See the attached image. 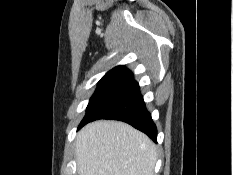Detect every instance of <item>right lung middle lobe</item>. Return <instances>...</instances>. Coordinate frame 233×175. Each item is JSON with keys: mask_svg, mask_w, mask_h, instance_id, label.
<instances>
[{"mask_svg": "<svg viewBox=\"0 0 233 175\" xmlns=\"http://www.w3.org/2000/svg\"><path fill=\"white\" fill-rule=\"evenodd\" d=\"M134 82L135 80L130 78H102L89 101L87 113L82 122L95 116L99 111L127 90Z\"/></svg>", "mask_w": 233, "mask_h": 175, "instance_id": "1", "label": "right lung middle lobe"}]
</instances>
